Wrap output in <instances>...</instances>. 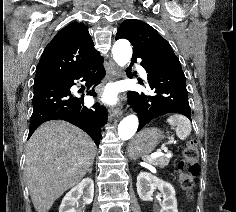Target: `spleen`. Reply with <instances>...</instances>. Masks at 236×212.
Returning <instances> with one entry per match:
<instances>
[{"instance_id":"3e777b00","label":"spleen","mask_w":236,"mask_h":212,"mask_svg":"<svg viewBox=\"0 0 236 212\" xmlns=\"http://www.w3.org/2000/svg\"><path fill=\"white\" fill-rule=\"evenodd\" d=\"M167 123L175 127L176 134L181 140H185L191 133V123L184 115L174 114L167 119ZM142 159L149 163L154 162L151 156H144Z\"/></svg>"}]
</instances>
